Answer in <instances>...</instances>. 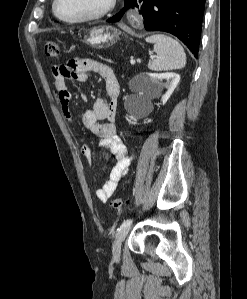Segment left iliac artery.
I'll return each mask as SVG.
<instances>
[{"instance_id":"left-iliac-artery-1","label":"left iliac artery","mask_w":247,"mask_h":299,"mask_svg":"<svg viewBox=\"0 0 247 299\" xmlns=\"http://www.w3.org/2000/svg\"><path fill=\"white\" fill-rule=\"evenodd\" d=\"M132 223V219H127V220H124L121 227H125V226H128Z\"/></svg>"}]
</instances>
